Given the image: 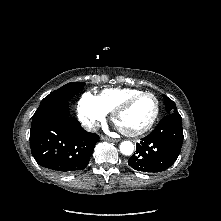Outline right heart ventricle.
<instances>
[{
	"mask_svg": "<svg viewBox=\"0 0 221 221\" xmlns=\"http://www.w3.org/2000/svg\"><path fill=\"white\" fill-rule=\"evenodd\" d=\"M141 92V90L133 88H112L103 90L97 97L108 113L112 112L125 99Z\"/></svg>",
	"mask_w": 221,
	"mask_h": 221,
	"instance_id": "e07e8e85",
	"label": "right heart ventricle"
}]
</instances>
